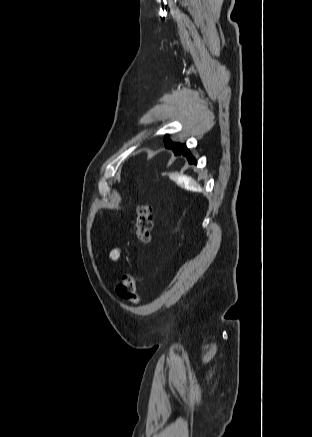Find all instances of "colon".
I'll return each instance as SVG.
<instances>
[{
  "instance_id": "obj_1",
  "label": "colon",
  "mask_w": 312,
  "mask_h": 437,
  "mask_svg": "<svg viewBox=\"0 0 312 437\" xmlns=\"http://www.w3.org/2000/svg\"><path fill=\"white\" fill-rule=\"evenodd\" d=\"M152 227V206L144 203L139 206L136 218V236L139 242L143 244L150 242ZM116 293L120 299L137 304L139 297L136 277L130 272L123 273L116 286Z\"/></svg>"
}]
</instances>
